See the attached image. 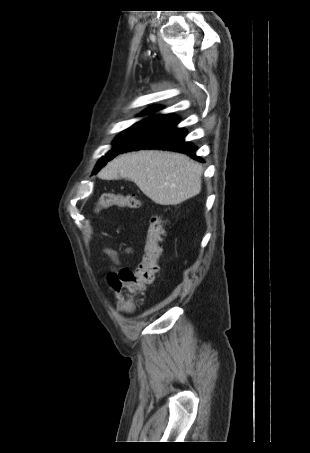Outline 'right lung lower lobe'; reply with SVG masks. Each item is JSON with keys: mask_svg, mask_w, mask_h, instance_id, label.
I'll return each instance as SVG.
<instances>
[{"mask_svg": "<svg viewBox=\"0 0 310 453\" xmlns=\"http://www.w3.org/2000/svg\"><path fill=\"white\" fill-rule=\"evenodd\" d=\"M179 118L166 114L154 121L140 135L133 139L120 153L140 149H167L190 155L203 162L195 155L196 146L184 140L187 132L177 128Z\"/></svg>", "mask_w": 310, "mask_h": 453, "instance_id": "1", "label": "right lung lower lobe"}]
</instances>
